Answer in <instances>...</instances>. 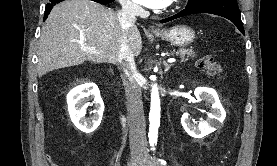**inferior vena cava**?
Here are the masks:
<instances>
[{
	"label": "inferior vena cava",
	"instance_id": "inferior-vena-cava-1",
	"mask_svg": "<svg viewBox=\"0 0 277 166\" xmlns=\"http://www.w3.org/2000/svg\"><path fill=\"white\" fill-rule=\"evenodd\" d=\"M120 3L122 9L117 15L124 34L120 44L119 59L122 61L125 74L123 84L127 100L130 150L132 157L136 158L147 155L145 117L141 88L137 82L138 71L133 53L128 46L126 32L136 22V15L140 12V8L129 0H120Z\"/></svg>",
	"mask_w": 277,
	"mask_h": 166
}]
</instances>
